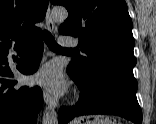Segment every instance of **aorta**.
<instances>
[{"instance_id":"obj_1","label":"aorta","mask_w":156,"mask_h":124,"mask_svg":"<svg viewBox=\"0 0 156 124\" xmlns=\"http://www.w3.org/2000/svg\"><path fill=\"white\" fill-rule=\"evenodd\" d=\"M51 16L56 22H63L68 17V12L65 8H54ZM42 124H58L57 112L52 106H47L43 113Z\"/></svg>"}]
</instances>
